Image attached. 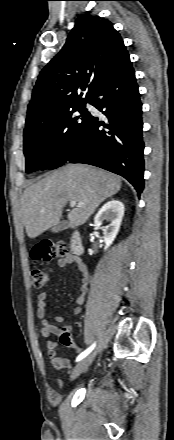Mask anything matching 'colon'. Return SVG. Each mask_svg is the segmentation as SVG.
<instances>
[{
    "label": "colon",
    "instance_id": "1",
    "mask_svg": "<svg viewBox=\"0 0 174 440\" xmlns=\"http://www.w3.org/2000/svg\"><path fill=\"white\" fill-rule=\"evenodd\" d=\"M68 249L63 243L43 242L31 250V257L35 261H50L55 257H64ZM32 284L35 288H42L49 282V275L41 269L31 272Z\"/></svg>",
    "mask_w": 174,
    "mask_h": 440
}]
</instances>
